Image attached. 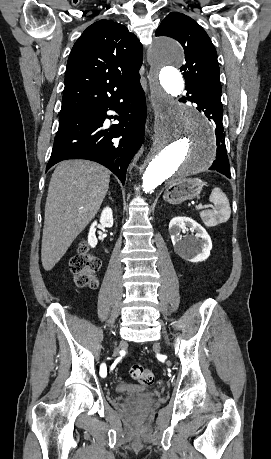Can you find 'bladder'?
<instances>
[{"instance_id": "obj_1", "label": "bladder", "mask_w": 271, "mask_h": 459, "mask_svg": "<svg viewBox=\"0 0 271 459\" xmlns=\"http://www.w3.org/2000/svg\"><path fill=\"white\" fill-rule=\"evenodd\" d=\"M148 386H140L137 384H132L127 381H121L119 384L115 387V392L117 394H123V393H128V392H134V391H147Z\"/></svg>"}]
</instances>
